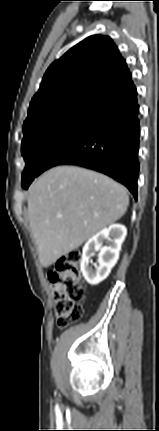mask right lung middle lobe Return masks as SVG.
Masks as SVG:
<instances>
[{
    "mask_svg": "<svg viewBox=\"0 0 159 431\" xmlns=\"http://www.w3.org/2000/svg\"><path fill=\"white\" fill-rule=\"evenodd\" d=\"M88 116L71 113H53L23 126L21 152L26 166L22 174V185L33 180L39 173L48 150L70 129Z\"/></svg>",
    "mask_w": 159,
    "mask_h": 431,
    "instance_id": "1",
    "label": "right lung middle lobe"
}]
</instances>
